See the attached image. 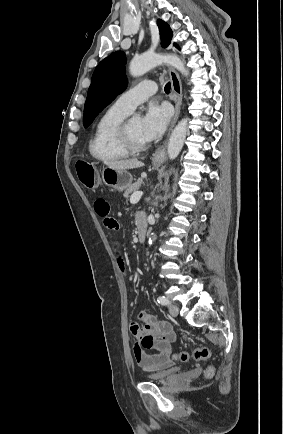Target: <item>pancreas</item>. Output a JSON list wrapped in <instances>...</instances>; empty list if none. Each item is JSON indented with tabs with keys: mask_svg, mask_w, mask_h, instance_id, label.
<instances>
[{
	"mask_svg": "<svg viewBox=\"0 0 283 434\" xmlns=\"http://www.w3.org/2000/svg\"><path fill=\"white\" fill-rule=\"evenodd\" d=\"M141 184H142V179H139L138 181H136L135 183H133V184H132V185H131V186H130L126 191H125V193H124V197H125L126 199H128L131 193L136 192V191L141 187Z\"/></svg>",
	"mask_w": 283,
	"mask_h": 434,
	"instance_id": "cf45deb5",
	"label": "pancreas"
}]
</instances>
